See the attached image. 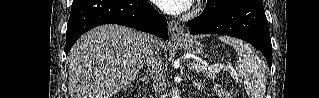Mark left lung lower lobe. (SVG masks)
Segmentation results:
<instances>
[{
    "label": "left lung lower lobe",
    "instance_id": "0a47b994",
    "mask_svg": "<svg viewBox=\"0 0 319 98\" xmlns=\"http://www.w3.org/2000/svg\"><path fill=\"white\" fill-rule=\"evenodd\" d=\"M190 34H223L251 43L272 64L268 21L261 0H230L207 3L199 17L188 22Z\"/></svg>",
    "mask_w": 319,
    "mask_h": 98
}]
</instances>
